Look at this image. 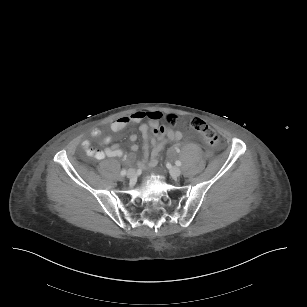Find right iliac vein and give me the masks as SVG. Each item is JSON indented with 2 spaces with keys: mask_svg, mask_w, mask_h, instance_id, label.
I'll list each match as a JSON object with an SVG mask.
<instances>
[{
  "mask_svg": "<svg viewBox=\"0 0 307 307\" xmlns=\"http://www.w3.org/2000/svg\"><path fill=\"white\" fill-rule=\"evenodd\" d=\"M127 177L129 179H133L136 177V170L133 169V168H130L128 171H127Z\"/></svg>",
  "mask_w": 307,
  "mask_h": 307,
  "instance_id": "1",
  "label": "right iliac vein"
}]
</instances>
